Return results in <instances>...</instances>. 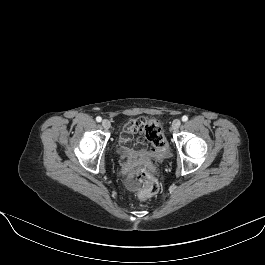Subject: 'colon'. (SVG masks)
I'll use <instances>...</instances> for the list:
<instances>
[{"mask_svg": "<svg viewBox=\"0 0 265 265\" xmlns=\"http://www.w3.org/2000/svg\"><path fill=\"white\" fill-rule=\"evenodd\" d=\"M143 133L152 146L153 154H162L167 150V142L158 121L145 120ZM136 179L144 187V191L141 193L142 198L150 197L159 191V182L145 168L140 167L136 170Z\"/></svg>", "mask_w": 265, "mask_h": 265, "instance_id": "colon-1", "label": "colon"}]
</instances>
